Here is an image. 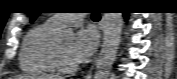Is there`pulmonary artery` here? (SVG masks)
Returning <instances> with one entry per match:
<instances>
[{
  "label": "pulmonary artery",
  "mask_w": 177,
  "mask_h": 79,
  "mask_svg": "<svg viewBox=\"0 0 177 79\" xmlns=\"http://www.w3.org/2000/svg\"><path fill=\"white\" fill-rule=\"evenodd\" d=\"M84 19L85 14H55L47 22L56 28H60L68 24L82 23Z\"/></svg>",
  "instance_id": "1"
}]
</instances>
